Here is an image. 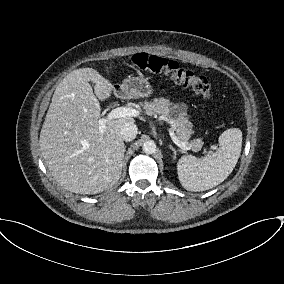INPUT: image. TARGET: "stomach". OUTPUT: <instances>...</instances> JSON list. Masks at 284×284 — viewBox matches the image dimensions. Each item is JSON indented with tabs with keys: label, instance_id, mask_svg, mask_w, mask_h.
<instances>
[{
	"label": "stomach",
	"instance_id": "obj_1",
	"mask_svg": "<svg viewBox=\"0 0 284 284\" xmlns=\"http://www.w3.org/2000/svg\"><path fill=\"white\" fill-rule=\"evenodd\" d=\"M122 93L128 98L149 97L152 94V87L147 79L142 77H130L118 86Z\"/></svg>",
	"mask_w": 284,
	"mask_h": 284
}]
</instances>
